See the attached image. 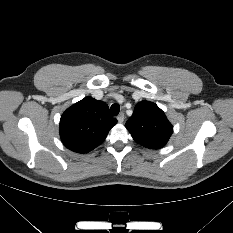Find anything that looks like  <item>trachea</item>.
Returning a JSON list of instances; mask_svg holds the SVG:
<instances>
[{
    "label": "trachea",
    "mask_w": 233,
    "mask_h": 233,
    "mask_svg": "<svg viewBox=\"0 0 233 233\" xmlns=\"http://www.w3.org/2000/svg\"><path fill=\"white\" fill-rule=\"evenodd\" d=\"M110 111L112 116H117L120 111V106L118 104H112Z\"/></svg>",
    "instance_id": "1"
}]
</instances>
